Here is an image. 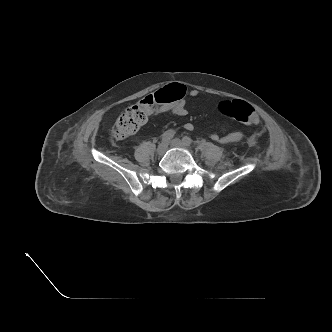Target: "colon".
<instances>
[{
    "label": "colon",
    "instance_id": "1",
    "mask_svg": "<svg viewBox=\"0 0 332 332\" xmlns=\"http://www.w3.org/2000/svg\"><path fill=\"white\" fill-rule=\"evenodd\" d=\"M186 93L184 85L172 83L146 96L143 100L135 103L124 110L118 117L112 129V136L116 140H123L134 135L148 120L153 111V106L159 107L175 104L183 99ZM218 114L237 120L243 124L259 129L260 120L255 109L242 100L222 101L217 107ZM259 134L250 138L254 144Z\"/></svg>",
    "mask_w": 332,
    "mask_h": 332
}]
</instances>
